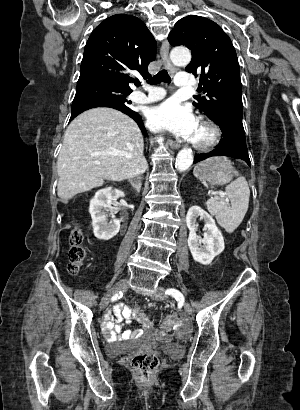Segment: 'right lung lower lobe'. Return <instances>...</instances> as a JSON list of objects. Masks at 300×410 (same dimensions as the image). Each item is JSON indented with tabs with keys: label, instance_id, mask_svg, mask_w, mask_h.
I'll return each instance as SVG.
<instances>
[{
	"label": "right lung lower lobe",
	"instance_id": "obj_1",
	"mask_svg": "<svg viewBox=\"0 0 300 410\" xmlns=\"http://www.w3.org/2000/svg\"><path fill=\"white\" fill-rule=\"evenodd\" d=\"M95 107H111V108L117 109V110L127 114L128 116H130L132 119H134L136 121V123L139 125L141 131L144 134H146V130H145V127L143 125L142 118L137 112L131 110L128 107H124V106L116 105V104H112V103H96V104H90V105H86V106L74 109L71 112L70 121L72 119H74L78 114L82 113L83 111L91 109V108H95Z\"/></svg>",
	"mask_w": 300,
	"mask_h": 410
}]
</instances>
